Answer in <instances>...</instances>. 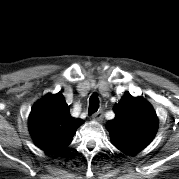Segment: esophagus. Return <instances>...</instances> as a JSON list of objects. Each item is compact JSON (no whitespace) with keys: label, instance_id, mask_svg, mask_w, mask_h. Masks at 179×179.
<instances>
[{"label":"esophagus","instance_id":"esophagus-1","mask_svg":"<svg viewBox=\"0 0 179 179\" xmlns=\"http://www.w3.org/2000/svg\"><path fill=\"white\" fill-rule=\"evenodd\" d=\"M93 120L101 121L103 119V112L100 110L92 115Z\"/></svg>","mask_w":179,"mask_h":179}]
</instances>
